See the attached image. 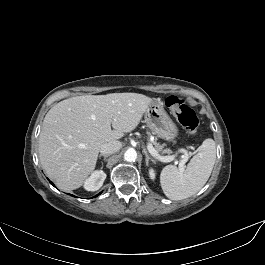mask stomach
Here are the masks:
<instances>
[{
	"mask_svg": "<svg viewBox=\"0 0 265 265\" xmlns=\"http://www.w3.org/2000/svg\"><path fill=\"white\" fill-rule=\"evenodd\" d=\"M144 118L149 129L157 137L171 141L177 136L178 129L162 103L152 102L146 109Z\"/></svg>",
	"mask_w": 265,
	"mask_h": 265,
	"instance_id": "stomach-1",
	"label": "stomach"
}]
</instances>
